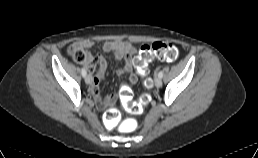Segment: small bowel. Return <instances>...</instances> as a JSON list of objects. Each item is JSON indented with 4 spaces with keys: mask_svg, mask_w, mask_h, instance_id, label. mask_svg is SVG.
<instances>
[{
    "mask_svg": "<svg viewBox=\"0 0 258 158\" xmlns=\"http://www.w3.org/2000/svg\"><path fill=\"white\" fill-rule=\"evenodd\" d=\"M95 43L91 40H82L77 42L74 46L82 49H89ZM101 49L104 52H110L116 59H125V65L122 69L117 71L118 75L128 74L131 83H136L138 75L134 71L133 59L136 55V47L128 41L112 40L100 43ZM92 57L84 64L91 71V95L100 108H106L114 102V97L110 96L107 99H103L99 92V84L102 81L104 72L107 67V61L101 55L97 56L95 63L91 62Z\"/></svg>",
    "mask_w": 258,
    "mask_h": 158,
    "instance_id": "1",
    "label": "small bowel"
}]
</instances>
